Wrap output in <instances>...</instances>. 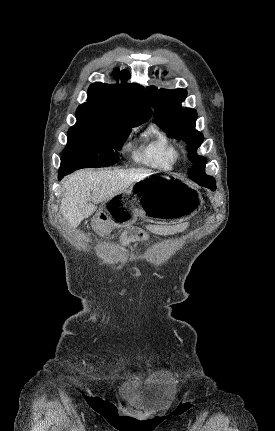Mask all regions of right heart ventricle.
I'll use <instances>...</instances> for the list:
<instances>
[{"label":"right heart ventricle","mask_w":275,"mask_h":431,"mask_svg":"<svg viewBox=\"0 0 275 431\" xmlns=\"http://www.w3.org/2000/svg\"><path fill=\"white\" fill-rule=\"evenodd\" d=\"M150 137L149 142L136 154V158L143 164L162 170H169L176 164L179 153L165 133L156 127H151L145 133Z\"/></svg>","instance_id":"obj_1"}]
</instances>
